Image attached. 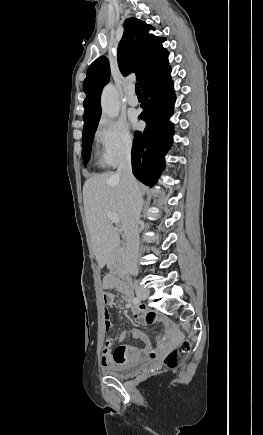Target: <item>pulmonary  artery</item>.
Returning a JSON list of instances; mask_svg holds the SVG:
<instances>
[{
  "instance_id": "pulmonary-artery-1",
  "label": "pulmonary artery",
  "mask_w": 263,
  "mask_h": 435,
  "mask_svg": "<svg viewBox=\"0 0 263 435\" xmlns=\"http://www.w3.org/2000/svg\"><path fill=\"white\" fill-rule=\"evenodd\" d=\"M127 101H128V104L131 106H137L139 104V100H138L137 96L135 95L133 86H131L129 88V95H128Z\"/></svg>"
}]
</instances>
